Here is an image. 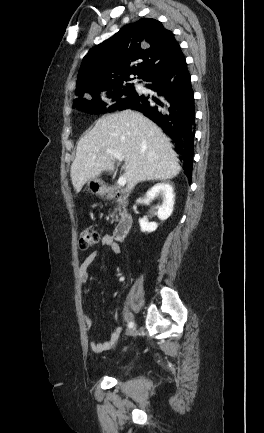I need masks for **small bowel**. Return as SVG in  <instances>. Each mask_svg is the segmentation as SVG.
Listing matches in <instances>:
<instances>
[{"label": "small bowel", "instance_id": "small-bowel-1", "mask_svg": "<svg viewBox=\"0 0 264 433\" xmlns=\"http://www.w3.org/2000/svg\"><path fill=\"white\" fill-rule=\"evenodd\" d=\"M100 242L101 245L108 247L114 253H120V247L118 246V244L114 242V240L110 236L102 237ZM97 255H98L97 251H92L85 257V259L81 263L79 268V278L82 283L87 282L89 278L88 269L91 266V264L95 261ZM85 325L88 329L92 327V319L88 316L85 317ZM122 332L123 329L121 327H116L112 331L109 339L99 343L92 342L90 345L92 351L95 353H102L110 350L113 344L121 337Z\"/></svg>", "mask_w": 264, "mask_h": 433}]
</instances>
